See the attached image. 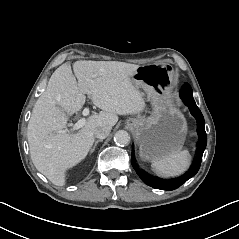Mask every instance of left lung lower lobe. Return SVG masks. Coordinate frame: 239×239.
<instances>
[{
    "label": "left lung lower lobe",
    "instance_id": "left-lung-lower-lobe-1",
    "mask_svg": "<svg viewBox=\"0 0 239 239\" xmlns=\"http://www.w3.org/2000/svg\"><path fill=\"white\" fill-rule=\"evenodd\" d=\"M180 96H181L182 100L185 102V104L188 106L191 114L197 120V133H198V137H199V144H198V148H197V158H196V162H195L193 168L184 177H182L179 180L172 181V182L162 181L159 179L148 177V176L144 175L142 172H140L134 162L133 153H132L131 163H132L135 171L137 172V174L143 180L144 183H146L147 185H149L153 188H156V189L174 190V189L180 187L188 179L193 177L198 172V170L200 168L203 152L206 148L207 135L205 132V127H204V118H203L201 111L199 110V108L197 107V105L194 101L192 89L188 83H185L183 85V87L180 91Z\"/></svg>",
    "mask_w": 239,
    "mask_h": 239
}]
</instances>
